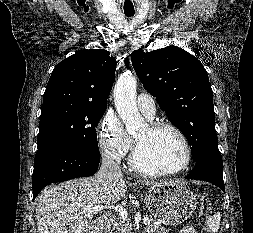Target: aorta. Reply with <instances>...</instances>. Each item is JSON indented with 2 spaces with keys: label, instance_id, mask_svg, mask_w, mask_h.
Returning <instances> with one entry per match:
<instances>
[{
  "label": "aorta",
  "instance_id": "aorta-1",
  "mask_svg": "<svg viewBox=\"0 0 253 233\" xmlns=\"http://www.w3.org/2000/svg\"><path fill=\"white\" fill-rule=\"evenodd\" d=\"M136 88L137 81L131 72L121 74L114 88L115 107L129 134L136 133L146 125L138 112Z\"/></svg>",
  "mask_w": 253,
  "mask_h": 233
}]
</instances>
